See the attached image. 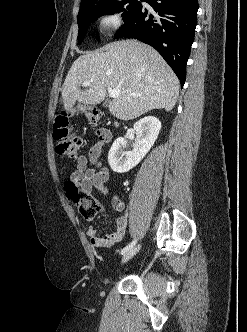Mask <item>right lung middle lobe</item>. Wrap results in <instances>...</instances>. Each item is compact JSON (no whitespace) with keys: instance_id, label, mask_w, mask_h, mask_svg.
Wrapping results in <instances>:
<instances>
[{"instance_id":"obj_1","label":"right lung middle lobe","mask_w":247,"mask_h":332,"mask_svg":"<svg viewBox=\"0 0 247 332\" xmlns=\"http://www.w3.org/2000/svg\"><path fill=\"white\" fill-rule=\"evenodd\" d=\"M141 7V2L138 0H103L79 10L77 17L79 26L78 43H82L91 20L95 21L98 17L105 14H115L121 12L123 20H126L135 14Z\"/></svg>"}]
</instances>
